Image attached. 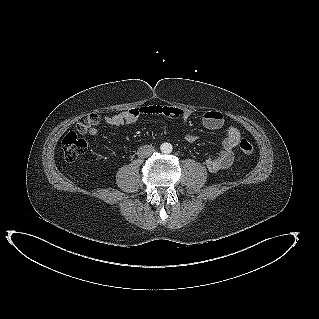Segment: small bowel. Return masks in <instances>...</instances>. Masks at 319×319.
Instances as JSON below:
<instances>
[{"label":"small bowel","mask_w":319,"mask_h":319,"mask_svg":"<svg viewBox=\"0 0 319 319\" xmlns=\"http://www.w3.org/2000/svg\"><path fill=\"white\" fill-rule=\"evenodd\" d=\"M156 114L180 118L186 128L185 139L188 142H194L197 139V136L188 129L191 118L190 110L157 104L133 107L119 113L104 116L91 114L93 119L88 123H77V130L81 134L96 136L98 134V125L101 123H106L111 126H126L134 124L141 115ZM202 123L203 126L209 130H219L224 126L225 119L219 111H208L204 114ZM240 138V131L234 126H229L222 140L221 149L205 161L207 169L211 172H218L228 168L234 161L235 149Z\"/></svg>","instance_id":"1"}]
</instances>
